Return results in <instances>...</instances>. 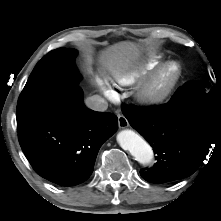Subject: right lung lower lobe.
<instances>
[{
	"label": "right lung lower lobe",
	"instance_id": "98d812e1",
	"mask_svg": "<svg viewBox=\"0 0 221 221\" xmlns=\"http://www.w3.org/2000/svg\"><path fill=\"white\" fill-rule=\"evenodd\" d=\"M118 128V118L85 107L76 85L35 122L18 129L20 146L33 169L61 186H74L93 172L102 144Z\"/></svg>",
	"mask_w": 221,
	"mask_h": 221
}]
</instances>
